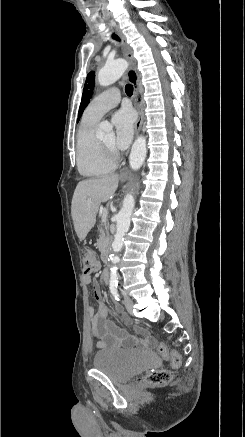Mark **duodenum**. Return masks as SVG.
Listing matches in <instances>:
<instances>
[{
    "label": "duodenum",
    "mask_w": 245,
    "mask_h": 437,
    "mask_svg": "<svg viewBox=\"0 0 245 437\" xmlns=\"http://www.w3.org/2000/svg\"><path fill=\"white\" fill-rule=\"evenodd\" d=\"M101 258H102V260H103L104 262H108V260H109V252H108V250H107L106 248H104V247H103L102 250H101ZM102 277H103V279H104L105 281L108 280V271H107V270H104V271H103Z\"/></svg>",
    "instance_id": "duodenum-1"
}]
</instances>
